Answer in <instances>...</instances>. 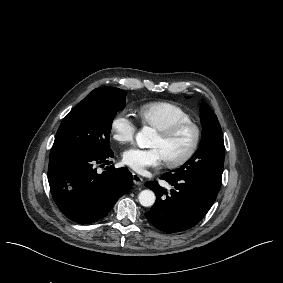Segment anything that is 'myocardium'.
Returning <instances> with one entry per match:
<instances>
[{
  "label": "myocardium",
  "mask_w": 283,
  "mask_h": 283,
  "mask_svg": "<svg viewBox=\"0 0 283 283\" xmlns=\"http://www.w3.org/2000/svg\"><path fill=\"white\" fill-rule=\"evenodd\" d=\"M187 127L192 128L194 132L193 143L190 149L187 151V153L180 159L174 161H170V160L164 161L165 165L169 169L181 168L187 165L195 157L202 143L203 131L201 126L196 121L190 119V120L177 121L173 125L168 127L166 130L159 132L158 134L163 141H170L173 138H175L179 132H181L183 129Z\"/></svg>",
  "instance_id": "myocardium-1"
}]
</instances>
